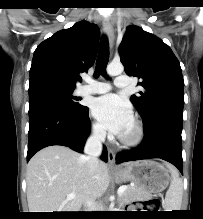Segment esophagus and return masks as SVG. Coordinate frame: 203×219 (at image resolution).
Masks as SVG:
<instances>
[{
  "mask_svg": "<svg viewBox=\"0 0 203 219\" xmlns=\"http://www.w3.org/2000/svg\"><path fill=\"white\" fill-rule=\"evenodd\" d=\"M103 30L108 38L110 47L112 48L115 40V34L113 26L108 19L103 20ZM108 163L110 167H116L115 153L111 148L108 149Z\"/></svg>",
  "mask_w": 203,
  "mask_h": 219,
  "instance_id": "obj_1",
  "label": "esophagus"
}]
</instances>
